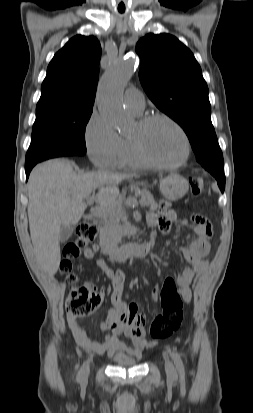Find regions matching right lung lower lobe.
<instances>
[{
  "instance_id": "right-lung-lower-lobe-1",
  "label": "right lung lower lobe",
  "mask_w": 253,
  "mask_h": 413,
  "mask_svg": "<svg viewBox=\"0 0 253 413\" xmlns=\"http://www.w3.org/2000/svg\"><path fill=\"white\" fill-rule=\"evenodd\" d=\"M37 163H30L25 165V172H26V178L28 179L30 171L32 170V168L36 165Z\"/></svg>"
}]
</instances>
